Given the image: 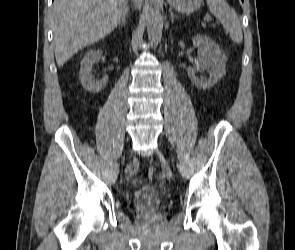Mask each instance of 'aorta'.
<instances>
[{
	"instance_id": "obj_1",
	"label": "aorta",
	"mask_w": 295,
	"mask_h": 250,
	"mask_svg": "<svg viewBox=\"0 0 295 250\" xmlns=\"http://www.w3.org/2000/svg\"><path fill=\"white\" fill-rule=\"evenodd\" d=\"M146 25L149 41L152 44H158L162 38L163 20L160 10L155 4L149 7Z\"/></svg>"
}]
</instances>
